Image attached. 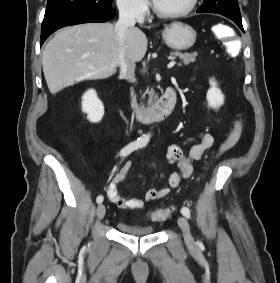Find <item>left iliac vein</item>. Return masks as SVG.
I'll use <instances>...</instances> for the list:
<instances>
[{
    "mask_svg": "<svg viewBox=\"0 0 280 283\" xmlns=\"http://www.w3.org/2000/svg\"><path fill=\"white\" fill-rule=\"evenodd\" d=\"M178 225L183 232V236H184V240H185L186 245L189 246V247H194L195 242H194V239L191 235L190 226H189L188 221L184 217L180 216L178 218Z\"/></svg>",
    "mask_w": 280,
    "mask_h": 283,
    "instance_id": "1",
    "label": "left iliac vein"
}]
</instances>
